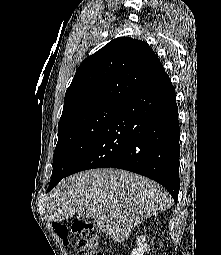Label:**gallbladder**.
Instances as JSON below:
<instances>
[{
	"instance_id": "gallbladder-1",
	"label": "gallbladder",
	"mask_w": 221,
	"mask_h": 255,
	"mask_svg": "<svg viewBox=\"0 0 221 255\" xmlns=\"http://www.w3.org/2000/svg\"><path fill=\"white\" fill-rule=\"evenodd\" d=\"M90 218H91V214L87 211L79 212L77 215V219L80 221H86V220H89Z\"/></svg>"
}]
</instances>
